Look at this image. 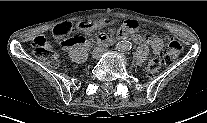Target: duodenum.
<instances>
[{
    "label": "duodenum",
    "mask_w": 207,
    "mask_h": 123,
    "mask_svg": "<svg viewBox=\"0 0 207 123\" xmlns=\"http://www.w3.org/2000/svg\"><path fill=\"white\" fill-rule=\"evenodd\" d=\"M121 38H122V37H117V38H115V39H113V40L108 39V40H106L105 42H102V43H112V42H115V41H119Z\"/></svg>",
    "instance_id": "duodenum-1"
}]
</instances>
